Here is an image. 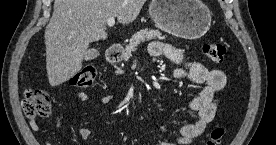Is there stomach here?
Masks as SVG:
<instances>
[{
    "mask_svg": "<svg viewBox=\"0 0 276 145\" xmlns=\"http://www.w3.org/2000/svg\"><path fill=\"white\" fill-rule=\"evenodd\" d=\"M149 14L161 30L190 40L205 35L212 20L201 0H152Z\"/></svg>",
    "mask_w": 276,
    "mask_h": 145,
    "instance_id": "stomach-1",
    "label": "stomach"
}]
</instances>
